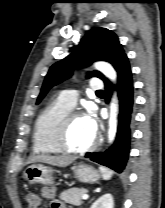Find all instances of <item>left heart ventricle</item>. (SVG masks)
Masks as SVG:
<instances>
[{"label": "left heart ventricle", "mask_w": 165, "mask_h": 208, "mask_svg": "<svg viewBox=\"0 0 165 208\" xmlns=\"http://www.w3.org/2000/svg\"><path fill=\"white\" fill-rule=\"evenodd\" d=\"M95 136L89 130L85 117L75 118L66 135V143L72 149H83L89 146Z\"/></svg>", "instance_id": "obj_1"}]
</instances>
